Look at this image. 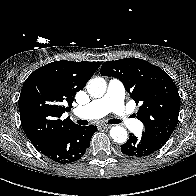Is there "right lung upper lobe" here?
<instances>
[{"instance_id":"right-lung-upper-lobe-1","label":"right lung upper lobe","mask_w":196,"mask_h":196,"mask_svg":"<svg viewBox=\"0 0 196 196\" xmlns=\"http://www.w3.org/2000/svg\"><path fill=\"white\" fill-rule=\"evenodd\" d=\"M101 62L55 61L35 70L24 82L19 97L22 128L39 150L59 134L74 126L70 118L61 120L72 107Z\"/></svg>"}]
</instances>
